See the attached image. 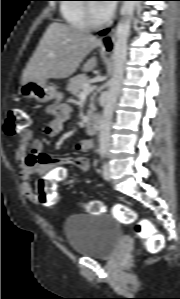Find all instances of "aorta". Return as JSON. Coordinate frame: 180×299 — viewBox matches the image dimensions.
<instances>
[{
  "mask_svg": "<svg viewBox=\"0 0 180 299\" xmlns=\"http://www.w3.org/2000/svg\"><path fill=\"white\" fill-rule=\"evenodd\" d=\"M136 5L137 1H123L121 8V18L116 27L115 46L113 51V76L110 80L109 90L103 105V113L99 126L100 147L103 149H107L109 147L111 120L123 81L127 55V39Z\"/></svg>",
  "mask_w": 180,
  "mask_h": 299,
  "instance_id": "1",
  "label": "aorta"
}]
</instances>
